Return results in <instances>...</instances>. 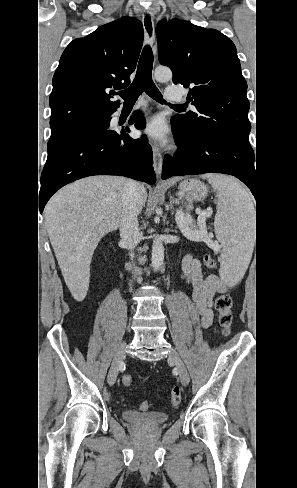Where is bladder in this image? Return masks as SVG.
<instances>
[{
  "label": "bladder",
  "mask_w": 297,
  "mask_h": 488,
  "mask_svg": "<svg viewBox=\"0 0 297 488\" xmlns=\"http://www.w3.org/2000/svg\"><path fill=\"white\" fill-rule=\"evenodd\" d=\"M122 415L127 422L139 427L148 428L161 426L169 419V415L167 413L157 411L140 413L127 410L124 411Z\"/></svg>",
  "instance_id": "bladder-1"
}]
</instances>
